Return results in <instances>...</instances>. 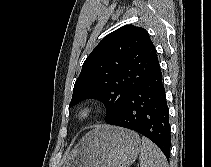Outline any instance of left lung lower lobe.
Segmentation results:
<instances>
[{
	"mask_svg": "<svg viewBox=\"0 0 211 167\" xmlns=\"http://www.w3.org/2000/svg\"><path fill=\"white\" fill-rule=\"evenodd\" d=\"M108 124L134 130L153 141L170 157L169 110L159 62L151 74L125 99L120 111Z\"/></svg>",
	"mask_w": 211,
	"mask_h": 167,
	"instance_id": "1",
	"label": "left lung lower lobe"
}]
</instances>
